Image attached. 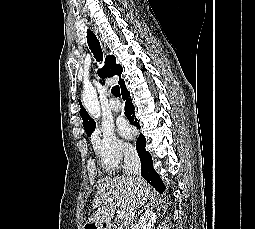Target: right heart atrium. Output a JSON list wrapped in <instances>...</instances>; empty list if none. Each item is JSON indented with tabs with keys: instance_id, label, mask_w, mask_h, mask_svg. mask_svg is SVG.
<instances>
[{
	"instance_id": "d8ad5b80",
	"label": "right heart atrium",
	"mask_w": 255,
	"mask_h": 229,
	"mask_svg": "<svg viewBox=\"0 0 255 229\" xmlns=\"http://www.w3.org/2000/svg\"><path fill=\"white\" fill-rule=\"evenodd\" d=\"M92 145L104 170L117 168L122 159L130 157L134 148L119 139L109 127H102L92 135Z\"/></svg>"
}]
</instances>
